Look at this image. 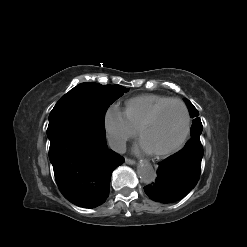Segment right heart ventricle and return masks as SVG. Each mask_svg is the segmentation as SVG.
I'll return each mask as SVG.
<instances>
[{
	"label": "right heart ventricle",
	"instance_id": "obj_1",
	"mask_svg": "<svg viewBox=\"0 0 247 247\" xmlns=\"http://www.w3.org/2000/svg\"><path fill=\"white\" fill-rule=\"evenodd\" d=\"M169 99L171 98L157 94H143L133 97L125 102L124 116L129 125L137 131L151 112Z\"/></svg>",
	"mask_w": 247,
	"mask_h": 247
}]
</instances>
